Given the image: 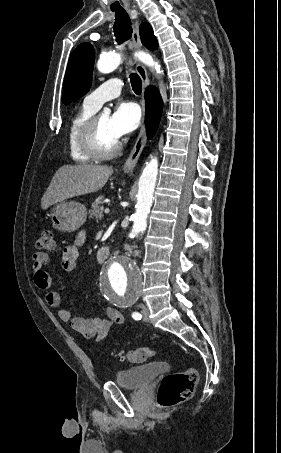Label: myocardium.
<instances>
[{
	"mask_svg": "<svg viewBox=\"0 0 281 453\" xmlns=\"http://www.w3.org/2000/svg\"><path fill=\"white\" fill-rule=\"evenodd\" d=\"M102 114L93 116L81 133V146L84 152L95 159H110L122 149V142L118 139L112 148L105 150L101 147L99 138V121Z\"/></svg>",
	"mask_w": 281,
	"mask_h": 453,
	"instance_id": "1",
	"label": "myocardium"
}]
</instances>
